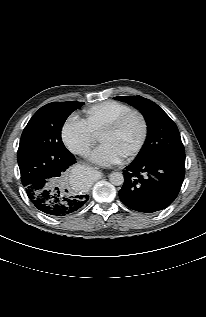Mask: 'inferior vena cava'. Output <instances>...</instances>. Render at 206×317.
I'll list each match as a JSON object with an SVG mask.
<instances>
[{"label": "inferior vena cava", "mask_w": 206, "mask_h": 317, "mask_svg": "<svg viewBox=\"0 0 206 317\" xmlns=\"http://www.w3.org/2000/svg\"><path fill=\"white\" fill-rule=\"evenodd\" d=\"M78 153L81 154L82 156H88L89 155V150L87 148H80L78 150Z\"/></svg>", "instance_id": "602c4592"}]
</instances>
